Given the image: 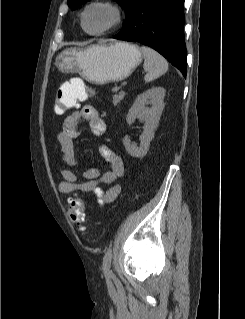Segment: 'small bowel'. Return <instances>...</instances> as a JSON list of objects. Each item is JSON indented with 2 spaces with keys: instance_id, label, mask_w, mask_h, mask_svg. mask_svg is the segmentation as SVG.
Returning <instances> with one entry per match:
<instances>
[{
  "instance_id": "1",
  "label": "small bowel",
  "mask_w": 245,
  "mask_h": 319,
  "mask_svg": "<svg viewBox=\"0 0 245 319\" xmlns=\"http://www.w3.org/2000/svg\"><path fill=\"white\" fill-rule=\"evenodd\" d=\"M83 81L73 77L61 85V89L75 93ZM58 94V93H57ZM86 121L95 136H102L106 131V123L98 110L92 105H84L80 109L68 114L61 123L57 141L62 149L65 163L68 165L62 171L63 181L59 184L60 193L69 196L73 194L94 195L100 205L114 201L120 194L121 188L117 183L124 173L120 156L108 145H101L100 153L110 166V170L100 174L95 169L84 173V180L79 181L74 167L77 165L74 141L80 135L78 125ZM111 185L103 191L101 185Z\"/></svg>"
}]
</instances>
